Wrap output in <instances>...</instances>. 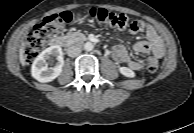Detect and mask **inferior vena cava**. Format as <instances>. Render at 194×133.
Segmentation results:
<instances>
[{
  "instance_id": "inferior-vena-cava-1",
  "label": "inferior vena cava",
  "mask_w": 194,
  "mask_h": 133,
  "mask_svg": "<svg viewBox=\"0 0 194 133\" xmlns=\"http://www.w3.org/2000/svg\"><path fill=\"white\" fill-rule=\"evenodd\" d=\"M81 53V48L78 46H70L67 48V54L70 57H76Z\"/></svg>"
}]
</instances>
